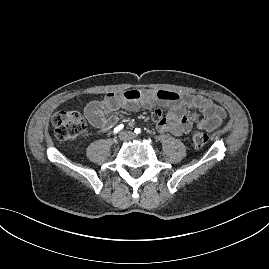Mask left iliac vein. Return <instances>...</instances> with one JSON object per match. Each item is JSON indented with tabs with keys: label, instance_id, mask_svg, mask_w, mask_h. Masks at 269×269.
I'll list each match as a JSON object with an SVG mask.
<instances>
[{
	"label": "left iliac vein",
	"instance_id": "1",
	"mask_svg": "<svg viewBox=\"0 0 269 269\" xmlns=\"http://www.w3.org/2000/svg\"><path fill=\"white\" fill-rule=\"evenodd\" d=\"M122 135L127 138V139H134L136 138V135L131 132V131H128V132H123Z\"/></svg>",
	"mask_w": 269,
	"mask_h": 269
}]
</instances>
